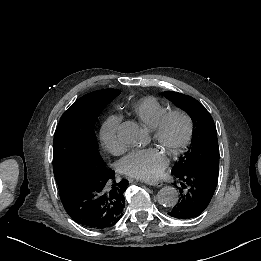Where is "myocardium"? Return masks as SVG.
<instances>
[{
	"instance_id": "obj_1",
	"label": "myocardium",
	"mask_w": 261,
	"mask_h": 261,
	"mask_svg": "<svg viewBox=\"0 0 261 261\" xmlns=\"http://www.w3.org/2000/svg\"><path fill=\"white\" fill-rule=\"evenodd\" d=\"M174 118L183 120L185 123V133L181 141L168 150L167 155L170 160L181 156L192 144L195 136V122L193 117L183 109H172L160 116L154 124L147 125L151 131L152 138L159 140L164 135L168 123Z\"/></svg>"
}]
</instances>
